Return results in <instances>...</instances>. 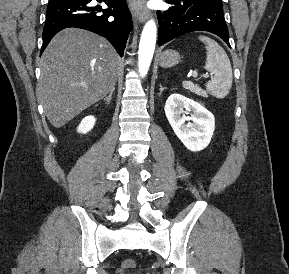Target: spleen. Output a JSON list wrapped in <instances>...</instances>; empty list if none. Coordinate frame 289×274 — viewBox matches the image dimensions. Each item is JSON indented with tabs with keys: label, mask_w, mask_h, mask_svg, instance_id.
<instances>
[{
	"label": "spleen",
	"mask_w": 289,
	"mask_h": 274,
	"mask_svg": "<svg viewBox=\"0 0 289 274\" xmlns=\"http://www.w3.org/2000/svg\"><path fill=\"white\" fill-rule=\"evenodd\" d=\"M206 45V70L214 74L206 83L207 91L214 97L222 99L231 89L233 74L230 60L224 49L213 39L199 36Z\"/></svg>",
	"instance_id": "1"
}]
</instances>
